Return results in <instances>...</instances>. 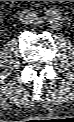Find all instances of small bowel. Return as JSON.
Returning a JSON list of instances; mask_svg holds the SVG:
<instances>
[{"instance_id": "small-bowel-1", "label": "small bowel", "mask_w": 74, "mask_h": 122, "mask_svg": "<svg viewBox=\"0 0 74 122\" xmlns=\"http://www.w3.org/2000/svg\"><path fill=\"white\" fill-rule=\"evenodd\" d=\"M50 15H56L55 11H53V9H51V11L49 12Z\"/></svg>"}]
</instances>
